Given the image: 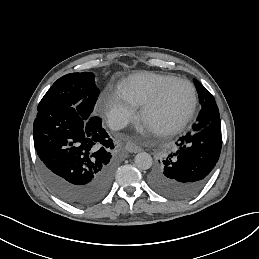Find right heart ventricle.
<instances>
[{"mask_svg":"<svg viewBox=\"0 0 259 259\" xmlns=\"http://www.w3.org/2000/svg\"><path fill=\"white\" fill-rule=\"evenodd\" d=\"M174 76L173 74L142 73L127 80L121 88L139 106H143L155 95L162 83Z\"/></svg>","mask_w":259,"mask_h":259,"instance_id":"1","label":"right heart ventricle"}]
</instances>
